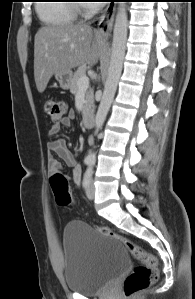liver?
<instances>
[{
    "label": "liver",
    "mask_w": 195,
    "mask_h": 299,
    "mask_svg": "<svg viewBox=\"0 0 195 299\" xmlns=\"http://www.w3.org/2000/svg\"><path fill=\"white\" fill-rule=\"evenodd\" d=\"M106 49L101 34L88 25L66 23L41 27L34 40V78L43 93L50 78L98 62Z\"/></svg>",
    "instance_id": "liver-1"
}]
</instances>
